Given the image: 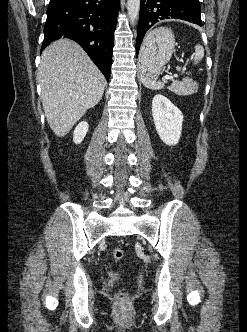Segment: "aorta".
<instances>
[{
    "label": "aorta",
    "mask_w": 247,
    "mask_h": 332,
    "mask_svg": "<svg viewBox=\"0 0 247 332\" xmlns=\"http://www.w3.org/2000/svg\"><path fill=\"white\" fill-rule=\"evenodd\" d=\"M127 10L130 22L134 25L139 16L140 0H127Z\"/></svg>",
    "instance_id": "1"
}]
</instances>
